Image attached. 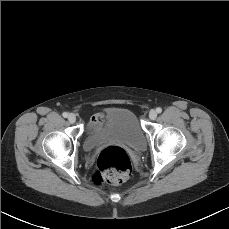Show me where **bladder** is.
<instances>
[{
	"instance_id": "obj_1",
	"label": "bladder",
	"mask_w": 229,
	"mask_h": 229,
	"mask_svg": "<svg viewBox=\"0 0 229 229\" xmlns=\"http://www.w3.org/2000/svg\"><path fill=\"white\" fill-rule=\"evenodd\" d=\"M110 142L121 143L138 154L146 150L147 137L132 111L125 108L109 109L101 127L86 131L84 149L91 151Z\"/></svg>"
}]
</instances>
